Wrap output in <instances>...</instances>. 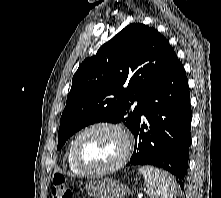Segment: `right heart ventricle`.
<instances>
[{"label": "right heart ventricle", "mask_w": 221, "mask_h": 198, "mask_svg": "<svg viewBox=\"0 0 221 198\" xmlns=\"http://www.w3.org/2000/svg\"><path fill=\"white\" fill-rule=\"evenodd\" d=\"M71 146H72V142L70 143L67 152H66V161L68 164L69 169L74 172V173H82L74 164L73 160H72V154H71Z\"/></svg>", "instance_id": "1"}]
</instances>
